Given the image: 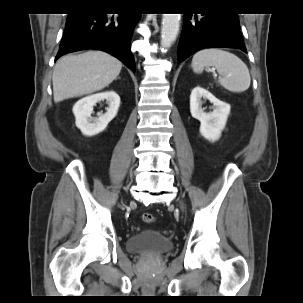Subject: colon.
<instances>
[{
  "label": "colon",
  "instance_id": "colon-1",
  "mask_svg": "<svg viewBox=\"0 0 303 303\" xmlns=\"http://www.w3.org/2000/svg\"><path fill=\"white\" fill-rule=\"evenodd\" d=\"M142 220H143L145 223L150 224V223H153V222H154L155 218H154V216H153L151 213H144V214L142 215Z\"/></svg>",
  "mask_w": 303,
  "mask_h": 303
}]
</instances>
